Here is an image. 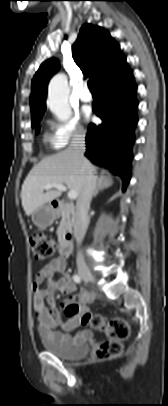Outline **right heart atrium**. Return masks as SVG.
Wrapping results in <instances>:
<instances>
[{
  "mask_svg": "<svg viewBox=\"0 0 168 406\" xmlns=\"http://www.w3.org/2000/svg\"><path fill=\"white\" fill-rule=\"evenodd\" d=\"M53 140L57 148H62L71 142L82 140L86 136V130L74 116L61 122H51Z\"/></svg>",
  "mask_w": 168,
  "mask_h": 406,
  "instance_id": "obj_1",
  "label": "right heart atrium"
}]
</instances>
